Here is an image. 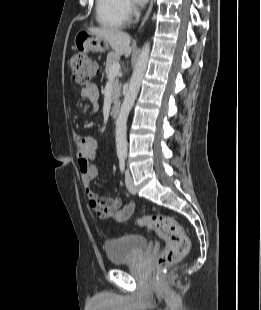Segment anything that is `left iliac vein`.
<instances>
[{
  "label": "left iliac vein",
  "mask_w": 261,
  "mask_h": 310,
  "mask_svg": "<svg viewBox=\"0 0 261 310\" xmlns=\"http://www.w3.org/2000/svg\"><path fill=\"white\" fill-rule=\"evenodd\" d=\"M125 184H126V187L128 189V191L131 193V194H136V187L133 183V179L131 177V173H130V170L127 169L126 170V174H125Z\"/></svg>",
  "instance_id": "4c4485c4"
}]
</instances>
